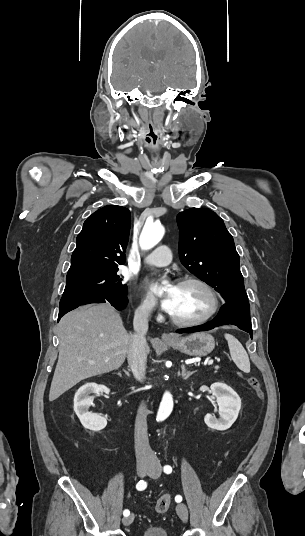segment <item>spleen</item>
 I'll use <instances>...</instances> for the list:
<instances>
[{
	"label": "spleen",
	"instance_id": "1",
	"mask_svg": "<svg viewBox=\"0 0 305 536\" xmlns=\"http://www.w3.org/2000/svg\"><path fill=\"white\" fill-rule=\"evenodd\" d=\"M224 336L225 340L228 342L230 356L234 364H236L239 370H242L245 374H249L250 362L246 350H244L242 344H240L234 336H231V334H224Z\"/></svg>",
	"mask_w": 305,
	"mask_h": 536
}]
</instances>
